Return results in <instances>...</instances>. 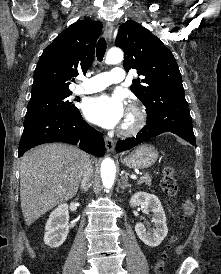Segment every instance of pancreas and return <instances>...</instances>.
<instances>
[{"mask_svg": "<svg viewBox=\"0 0 221 274\" xmlns=\"http://www.w3.org/2000/svg\"><path fill=\"white\" fill-rule=\"evenodd\" d=\"M138 183H139V184L145 183L146 185L151 186V184H152V179H151V177H150L149 174H145L144 176H142V177L140 178V180L138 181Z\"/></svg>", "mask_w": 221, "mask_h": 274, "instance_id": "1", "label": "pancreas"}]
</instances>
